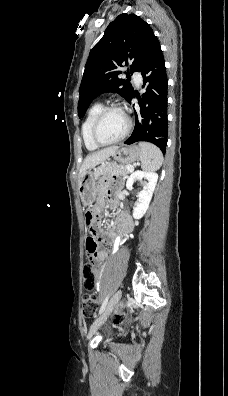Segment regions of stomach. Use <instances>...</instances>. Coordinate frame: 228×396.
Instances as JSON below:
<instances>
[{"label": "stomach", "instance_id": "1", "mask_svg": "<svg viewBox=\"0 0 228 396\" xmlns=\"http://www.w3.org/2000/svg\"><path fill=\"white\" fill-rule=\"evenodd\" d=\"M141 155V149L136 145L118 148L112 157L121 164H131L138 160ZM102 167V166H101ZM99 168L92 171L86 170L82 173L78 181V192L81 202L84 206H91L96 200V180Z\"/></svg>", "mask_w": 228, "mask_h": 396}]
</instances>
